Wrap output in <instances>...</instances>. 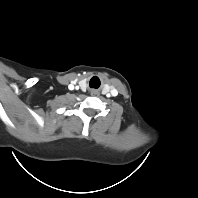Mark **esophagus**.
Masks as SVG:
<instances>
[{"instance_id": "1", "label": "esophagus", "mask_w": 198, "mask_h": 198, "mask_svg": "<svg viewBox=\"0 0 198 198\" xmlns=\"http://www.w3.org/2000/svg\"><path fill=\"white\" fill-rule=\"evenodd\" d=\"M96 93V91H92V94H95Z\"/></svg>"}]
</instances>
